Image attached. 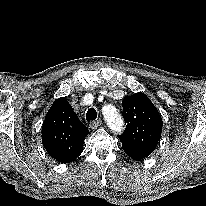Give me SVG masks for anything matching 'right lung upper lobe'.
Segmentation results:
<instances>
[{
  "instance_id": "right-lung-upper-lobe-1",
  "label": "right lung upper lobe",
  "mask_w": 206,
  "mask_h": 206,
  "mask_svg": "<svg viewBox=\"0 0 206 206\" xmlns=\"http://www.w3.org/2000/svg\"><path fill=\"white\" fill-rule=\"evenodd\" d=\"M87 134L89 131L67 99L55 100L42 126V143L49 155L60 163L74 161L83 151Z\"/></svg>"
}]
</instances>
